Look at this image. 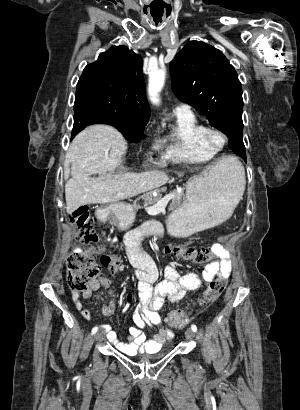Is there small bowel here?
<instances>
[{"label":"small bowel","mask_w":300,"mask_h":410,"mask_svg":"<svg viewBox=\"0 0 300 410\" xmlns=\"http://www.w3.org/2000/svg\"><path fill=\"white\" fill-rule=\"evenodd\" d=\"M141 240L142 236L139 233H132L126 238L128 257L135 267L134 275L137 280L139 299V303L132 315L134 326L128 330L130 340L122 342L110 325L101 326L108 341L126 355H135L138 352H154L163 343L173 338L172 330L163 324L159 314L166 299L180 300L187 292L198 290L214 279L227 281L232 273L230 253L220 245L215 244L218 259L207 264L201 274L193 272L179 273L174 267L167 266L164 270V279L158 282V268L154 261L139 247ZM75 252L86 253L87 251L77 247ZM90 252L96 253L97 251L91 250ZM101 287L106 289L110 298L109 302L103 306V312L105 315H111L116 309V303L111 289V282L107 277L101 276L92 280L81 295L78 292H72L74 305L86 320L91 318V314L88 309L83 307L80 297L89 299ZM132 302V297L128 296L122 311H127ZM152 327L157 329L156 334L153 338H148L144 330Z\"/></svg>","instance_id":"small-bowel-1"}]
</instances>
